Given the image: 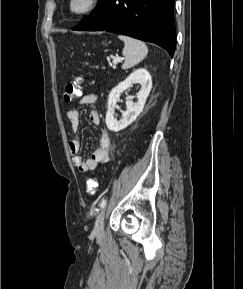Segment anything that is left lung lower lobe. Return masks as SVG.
Returning <instances> with one entry per match:
<instances>
[{
	"label": "left lung lower lobe",
	"mask_w": 243,
	"mask_h": 289,
	"mask_svg": "<svg viewBox=\"0 0 243 289\" xmlns=\"http://www.w3.org/2000/svg\"><path fill=\"white\" fill-rule=\"evenodd\" d=\"M175 0H99L92 13L72 30L101 31L155 43L173 57L176 47Z\"/></svg>",
	"instance_id": "1"
}]
</instances>
